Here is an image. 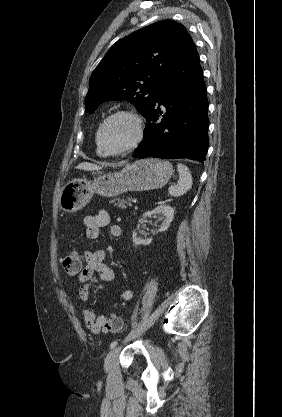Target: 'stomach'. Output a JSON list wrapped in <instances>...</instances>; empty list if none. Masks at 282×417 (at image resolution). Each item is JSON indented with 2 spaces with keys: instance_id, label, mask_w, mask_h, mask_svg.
I'll return each instance as SVG.
<instances>
[{
  "instance_id": "stomach-1",
  "label": "stomach",
  "mask_w": 282,
  "mask_h": 417,
  "mask_svg": "<svg viewBox=\"0 0 282 417\" xmlns=\"http://www.w3.org/2000/svg\"><path fill=\"white\" fill-rule=\"evenodd\" d=\"M173 174L171 162L160 158H142L122 168L120 172L100 174L89 182L86 178H74L64 186L60 194V209L76 213L89 202L94 192L101 196H117L126 190H150L161 188Z\"/></svg>"
}]
</instances>
